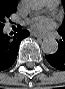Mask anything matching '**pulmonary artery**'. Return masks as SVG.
Here are the masks:
<instances>
[{
	"instance_id": "pulmonary-artery-1",
	"label": "pulmonary artery",
	"mask_w": 65,
	"mask_h": 89,
	"mask_svg": "<svg viewBox=\"0 0 65 89\" xmlns=\"http://www.w3.org/2000/svg\"><path fill=\"white\" fill-rule=\"evenodd\" d=\"M58 3H59L58 0H46L45 1V5L50 9L55 8L58 5Z\"/></svg>"
}]
</instances>
